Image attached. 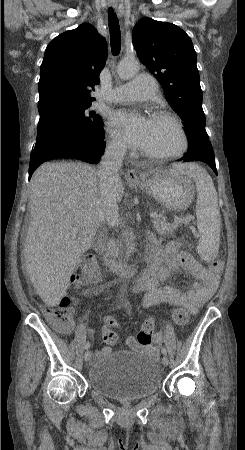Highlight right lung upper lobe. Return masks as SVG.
<instances>
[{
    "label": "right lung upper lobe",
    "instance_id": "cb5924a9",
    "mask_svg": "<svg viewBox=\"0 0 245 450\" xmlns=\"http://www.w3.org/2000/svg\"><path fill=\"white\" fill-rule=\"evenodd\" d=\"M106 40L81 24L52 40L40 68L38 109L57 104L91 105L95 85L105 66Z\"/></svg>",
    "mask_w": 245,
    "mask_h": 450
}]
</instances>
